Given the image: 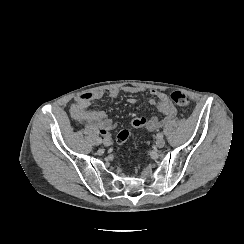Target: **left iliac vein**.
Segmentation results:
<instances>
[{
    "label": "left iliac vein",
    "mask_w": 244,
    "mask_h": 244,
    "mask_svg": "<svg viewBox=\"0 0 244 244\" xmlns=\"http://www.w3.org/2000/svg\"><path fill=\"white\" fill-rule=\"evenodd\" d=\"M164 145H165V141H164L163 138H158V139L156 140V146H157L158 148H163Z\"/></svg>",
    "instance_id": "1"
}]
</instances>
